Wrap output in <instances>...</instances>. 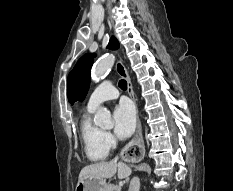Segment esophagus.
<instances>
[{
	"instance_id": "34e87169",
	"label": "esophagus",
	"mask_w": 233,
	"mask_h": 191,
	"mask_svg": "<svg viewBox=\"0 0 233 191\" xmlns=\"http://www.w3.org/2000/svg\"><path fill=\"white\" fill-rule=\"evenodd\" d=\"M116 71L117 73L123 77L127 82V88H128V95L131 98V100L136 105V98L133 91V86L131 83L130 76L128 74V71L126 67L124 66L123 62L121 60H117L116 62ZM144 140L142 135V125L141 120L139 117L138 109H137V129L134 137L128 142V144L123 148L122 150V156L125 158V162H139L138 156H144Z\"/></svg>"
}]
</instances>
